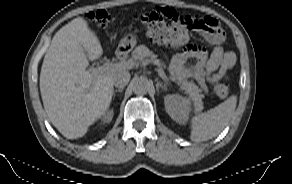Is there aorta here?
I'll use <instances>...</instances> for the list:
<instances>
[{
    "mask_svg": "<svg viewBox=\"0 0 292 184\" xmlns=\"http://www.w3.org/2000/svg\"><path fill=\"white\" fill-rule=\"evenodd\" d=\"M151 87V83L144 77L135 78L132 82V90L135 94H146Z\"/></svg>",
    "mask_w": 292,
    "mask_h": 184,
    "instance_id": "obj_1",
    "label": "aorta"
}]
</instances>
